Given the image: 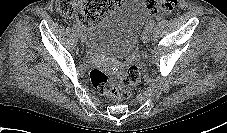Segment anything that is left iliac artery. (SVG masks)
I'll list each match as a JSON object with an SVG mask.
<instances>
[{"label": "left iliac artery", "mask_w": 227, "mask_h": 133, "mask_svg": "<svg viewBox=\"0 0 227 133\" xmlns=\"http://www.w3.org/2000/svg\"><path fill=\"white\" fill-rule=\"evenodd\" d=\"M154 25H155V20L153 19V20H150V21L147 23L146 27H148V28H150V29L152 30L153 27H154Z\"/></svg>", "instance_id": "1"}]
</instances>
